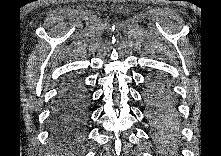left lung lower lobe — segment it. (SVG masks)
<instances>
[{"mask_svg": "<svg viewBox=\"0 0 221 156\" xmlns=\"http://www.w3.org/2000/svg\"><path fill=\"white\" fill-rule=\"evenodd\" d=\"M146 111L153 132L159 137L177 133L179 117L176 99L166 78L153 75L148 80Z\"/></svg>", "mask_w": 221, "mask_h": 156, "instance_id": "left-lung-lower-lobe-1", "label": "left lung lower lobe"}]
</instances>
